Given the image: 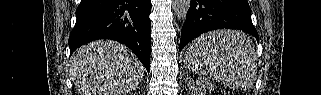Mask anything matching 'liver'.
I'll use <instances>...</instances> for the list:
<instances>
[{
	"label": "liver",
	"instance_id": "obj_1",
	"mask_svg": "<svg viewBox=\"0 0 321 95\" xmlns=\"http://www.w3.org/2000/svg\"><path fill=\"white\" fill-rule=\"evenodd\" d=\"M70 73L80 95H126L143 79L144 67L126 46L99 40L73 54Z\"/></svg>",
	"mask_w": 321,
	"mask_h": 95
}]
</instances>
